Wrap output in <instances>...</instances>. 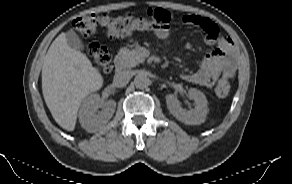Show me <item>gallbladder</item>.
I'll use <instances>...</instances> for the list:
<instances>
[{"instance_id":"bac80fb5","label":"gallbladder","mask_w":292,"mask_h":184,"mask_svg":"<svg viewBox=\"0 0 292 184\" xmlns=\"http://www.w3.org/2000/svg\"><path fill=\"white\" fill-rule=\"evenodd\" d=\"M65 35H66L67 43L73 49L83 50L84 48L83 43L81 39L79 38V36L73 30L67 31Z\"/></svg>"}]
</instances>
